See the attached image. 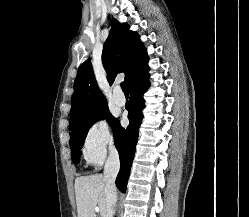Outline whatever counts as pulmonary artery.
<instances>
[{
  "instance_id": "e3ab8cb5",
  "label": "pulmonary artery",
  "mask_w": 249,
  "mask_h": 217,
  "mask_svg": "<svg viewBox=\"0 0 249 217\" xmlns=\"http://www.w3.org/2000/svg\"><path fill=\"white\" fill-rule=\"evenodd\" d=\"M113 101L116 105L123 106L125 104V97L121 93L116 92L113 96Z\"/></svg>"
}]
</instances>
